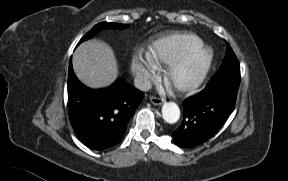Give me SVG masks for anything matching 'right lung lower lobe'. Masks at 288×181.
I'll use <instances>...</instances> for the list:
<instances>
[{
	"mask_svg": "<svg viewBox=\"0 0 288 181\" xmlns=\"http://www.w3.org/2000/svg\"><path fill=\"white\" fill-rule=\"evenodd\" d=\"M67 87L71 125L84 145L98 151L123 139L130 118L144 98L143 92L122 79L105 89L85 87L75 76L71 61Z\"/></svg>",
	"mask_w": 288,
	"mask_h": 181,
	"instance_id": "98d812e1",
	"label": "right lung lower lobe"
}]
</instances>
